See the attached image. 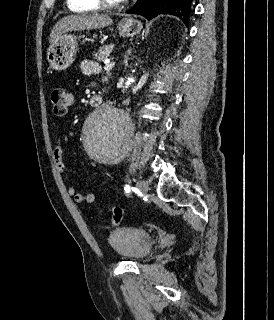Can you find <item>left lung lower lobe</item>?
I'll list each match as a JSON object with an SVG mask.
<instances>
[{
  "label": "left lung lower lobe",
  "instance_id": "0a47b994",
  "mask_svg": "<svg viewBox=\"0 0 274 320\" xmlns=\"http://www.w3.org/2000/svg\"><path fill=\"white\" fill-rule=\"evenodd\" d=\"M191 6L192 0H137L126 13L142 15L148 20L165 13L178 16L188 23Z\"/></svg>",
  "mask_w": 274,
  "mask_h": 320
}]
</instances>
